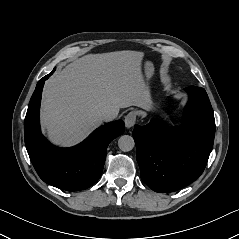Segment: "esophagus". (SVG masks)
<instances>
[{
    "label": "esophagus",
    "mask_w": 239,
    "mask_h": 239,
    "mask_svg": "<svg viewBox=\"0 0 239 239\" xmlns=\"http://www.w3.org/2000/svg\"><path fill=\"white\" fill-rule=\"evenodd\" d=\"M124 121H125V126L127 128H131L132 126H134L136 122V113L134 111H131L130 113L126 115Z\"/></svg>",
    "instance_id": "obj_1"
}]
</instances>
